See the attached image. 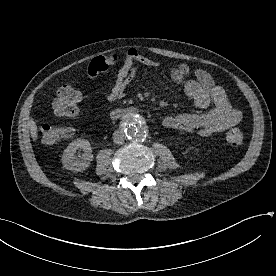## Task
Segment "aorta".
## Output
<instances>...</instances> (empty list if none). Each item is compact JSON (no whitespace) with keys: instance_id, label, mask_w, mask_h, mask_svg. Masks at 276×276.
Returning a JSON list of instances; mask_svg holds the SVG:
<instances>
[{"instance_id":"obj_1","label":"aorta","mask_w":276,"mask_h":276,"mask_svg":"<svg viewBox=\"0 0 276 276\" xmlns=\"http://www.w3.org/2000/svg\"><path fill=\"white\" fill-rule=\"evenodd\" d=\"M123 129L126 136L133 141H143L147 135L142 117L137 114H132L125 119Z\"/></svg>"}]
</instances>
